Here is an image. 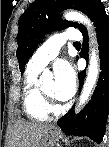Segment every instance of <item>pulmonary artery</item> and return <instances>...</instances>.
<instances>
[{"mask_svg":"<svg viewBox=\"0 0 109 147\" xmlns=\"http://www.w3.org/2000/svg\"><path fill=\"white\" fill-rule=\"evenodd\" d=\"M81 40L82 35L80 32H61L54 34L36 50L28 65L41 70L59 54L60 48L65 42H72L77 45Z\"/></svg>","mask_w":109,"mask_h":147,"instance_id":"pulmonary-artery-1","label":"pulmonary artery"}]
</instances>
